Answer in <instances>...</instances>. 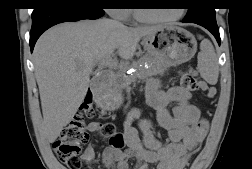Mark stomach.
Wrapping results in <instances>:
<instances>
[{
    "mask_svg": "<svg viewBox=\"0 0 252 169\" xmlns=\"http://www.w3.org/2000/svg\"><path fill=\"white\" fill-rule=\"evenodd\" d=\"M141 44L163 69L190 60L197 51V41L193 34L175 25L162 26L144 36ZM121 102L118 91L112 89L103 99V107L115 110Z\"/></svg>",
    "mask_w": 252,
    "mask_h": 169,
    "instance_id": "0dacf381",
    "label": "stomach"
}]
</instances>
